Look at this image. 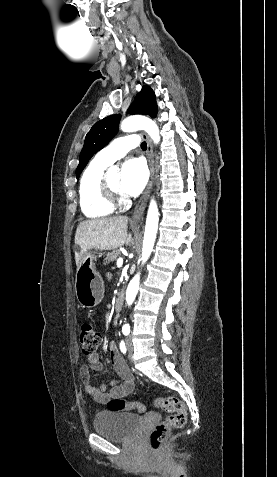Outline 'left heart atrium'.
I'll list each match as a JSON object with an SVG mask.
<instances>
[{
    "mask_svg": "<svg viewBox=\"0 0 277 477\" xmlns=\"http://www.w3.org/2000/svg\"><path fill=\"white\" fill-rule=\"evenodd\" d=\"M148 180V171L141 159L127 160L121 169L120 191L129 196L138 195Z\"/></svg>",
    "mask_w": 277,
    "mask_h": 477,
    "instance_id": "1",
    "label": "left heart atrium"
}]
</instances>
